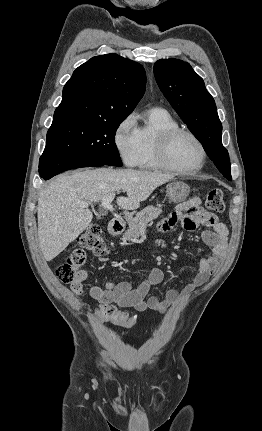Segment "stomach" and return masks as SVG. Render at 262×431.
Instances as JSON below:
<instances>
[{"instance_id":"obj_1","label":"stomach","mask_w":262,"mask_h":431,"mask_svg":"<svg viewBox=\"0 0 262 431\" xmlns=\"http://www.w3.org/2000/svg\"><path fill=\"white\" fill-rule=\"evenodd\" d=\"M189 193L190 187L182 181L174 180L166 187V196L171 202H182L189 196Z\"/></svg>"}]
</instances>
